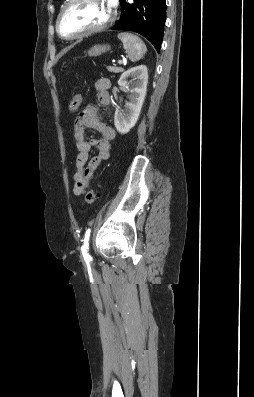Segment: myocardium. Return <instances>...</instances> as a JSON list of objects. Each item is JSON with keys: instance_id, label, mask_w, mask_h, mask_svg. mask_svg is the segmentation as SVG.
I'll return each instance as SVG.
<instances>
[{"instance_id": "1", "label": "myocardium", "mask_w": 254, "mask_h": 397, "mask_svg": "<svg viewBox=\"0 0 254 397\" xmlns=\"http://www.w3.org/2000/svg\"><path fill=\"white\" fill-rule=\"evenodd\" d=\"M75 1H76V0H67L66 3L62 6V8H61V10H60V12H59V14H58V16H57V19H56V30H57V33H58L59 36L62 37L63 39H66V40H74V39H78V38H81V37H85V36H88V35H91V34H94V33H98V32H101V31L105 30L106 28H108V27H109L110 25H112V23L114 22L115 17H116V11H115L114 6L112 5L111 1H109V0H103L104 2H106V3L109 5V10H110L109 16H108V18L106 19V21H104L102 24H100V25H98V26H96V27H93V28L84 30V31L79 32V33H77V34H74V35H65V34L61 31V28H60L61 18H62V16H63L64 12L66 11V9H67L72 3H74Z\"/></svg>"}]
</instances>
